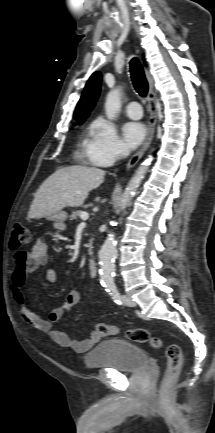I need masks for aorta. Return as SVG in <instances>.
<instances>
[{"instance_id":"aorta-1","label":"aorta","mask_w":215,"mask_h":433,"mask_svg":"<svg viewBox=\"0 0 215 433\" xmlns=\"http://www.w3.org/2000/svg\"><path fill=\"white\" fill-rule=\"evenodd\" d=\"M121 109V89L120 87L110 91L107 94L105 101V114L108 119L114 120ZM151 159L147 160L142 164L136 171L135 175L129 181L123 196L121 198L120 206L121 209H125L130 202L131 197L135 194L136 189L139 187L144 175L148 169V165ZM116 239L113 232L109 233L100 252V277L101 283L112 288L114 286V275H115V256L117 253L116 249Z\"/></svg>"}]
</instances>
